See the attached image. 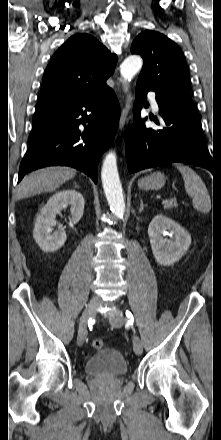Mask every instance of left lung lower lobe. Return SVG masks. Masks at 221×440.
I'll return each instance as SVG.
<instances>
[{"mask_svg":"<svg viewBox=\"0 0 221 440\" xmlns=\"http://www.w3.org/2000/svg\"><path fill=\"white\" fill-rule=\"evenodd\" d=\"M153 90L137 82L134 103L135 121L126 140V160L130 173L172 162H183L214 170L201 128V116L195 108L162 97L156 93L159 113L166 127L146 128L140 120L146 94Z\"/></svg>","mask_w":221,"mask_h":440,"instance_id":"left-lung-lower-lobe-1","label":"left lung lower lobe"}]
</instances>
